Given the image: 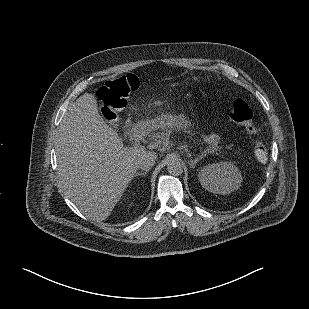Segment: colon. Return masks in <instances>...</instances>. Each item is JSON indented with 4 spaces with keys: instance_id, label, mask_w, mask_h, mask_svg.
<instances>
[{
    "instance_id": "5ec220e1",
    "label": "colon",
    "mask_w": 309,
    "mask_h": 309,
    "mask_svg": "<svg viewBox=\"0 0 309 309\" xmlns=\"http://www.w3.org/2000/svg\"><path fill=\"white\" fill-rule=\"evenodd\" d=\"M140 86L137 76L133 74L123 75L115 80L106 82L97 93L102 113L109 119L117 117L128 103V99ZM229 119L240 125L247 135L257 137L258 131L253 122V113L248 104L242 100L234 101ZM254 154L260 162H265L268 152L265 144L258 141L254 147Z\"/></svg>"
}]
</instances>
